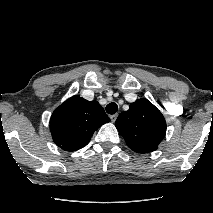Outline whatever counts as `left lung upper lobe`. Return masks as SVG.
<instances>
[{
	"label": "left lung upper lobe",
	"mask_w": 213,
	"mask_h": 213,
	"mask_svg": "<svg viewBox=\"0 0 213 213\" xmlns=\"http://www.w3.org/2000/svg\"><path fill=\"white\" fill-rule=\"evenodd\" d=\"M115 125L129 148L137 153L156 150L166 134L163 115L145 98L131 103L129 110L118 116Z\"/></svg>",
	"instance_id": "1"
}]
</instances>
